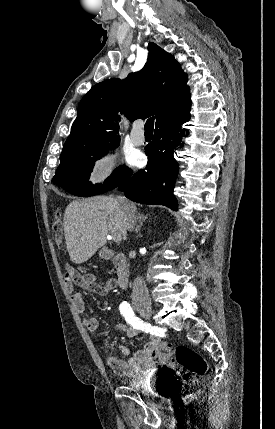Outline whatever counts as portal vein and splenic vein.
I'll list each match as a JSON object with an SVG mask.
<instances>
[{
    "label": "portal vein and splenic vein",
    "instance_id": "obj_1",
    "mask_svg": "<svg viewBox=\"0 0 275 429\" xmlns=\"http://www.w3.org/2000/svg\"><path fill=\"white\" fill-rule=\"evenodd\" d=\"M110 239H113L115 242L119 243L122 237L119 234H113V235H110Z\"/></svg>",
    "mask_w": 275,
    "mask_h": 429
}]
</instances>
